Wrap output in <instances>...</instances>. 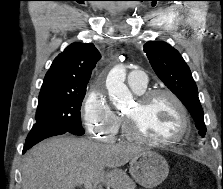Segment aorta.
<instances>
[{
	"label": "aorta",
	"mask_w": 223,
	"mask_h": 189,
	"mask_svg": "<svg viewBox=\"0 0 223 189\" xmlns=\"http://www.w3.org/2000/svg\"><path fill=\"white\" fill-rule=\"evenodd\" d=\"M126 69L122 65H116L109 72L106 79V87L113 105L119 109L129 107L133 96L125 85Z\"/></svg>",
	"instance_id": "1"
}]
</instances>
